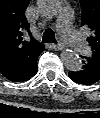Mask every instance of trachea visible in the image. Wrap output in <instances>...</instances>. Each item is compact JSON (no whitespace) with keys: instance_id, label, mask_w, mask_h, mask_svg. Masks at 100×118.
<instances>
[{"instance_id":"obj_1","label":"trachea","mask_w":100,"mask_h":118,"mask_svg":"<svg viewBox=\"0 0 100 118\" xmlns=\"http://www.w3.org/2000/svg\"><path fill=\"white\" fill-rule=\"evenodd\" d=\"M42 42L43 43H57L55 36H54V32L50 29L46 30L43 33Z\"/></svg>"}]
</instances>
